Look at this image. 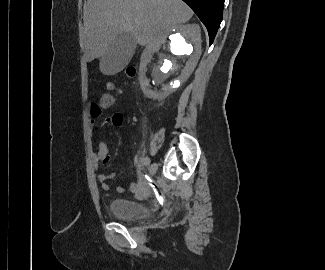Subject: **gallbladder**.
<instances>
[{
  "instance_id": "gallbladder-1",
  "label": "gallbladder",
  "mask_w": 325,
  "mask_h": 270,
  "mask_svg": "<svg viewBox=\"0 0 325 270\" xmlns=\"http://www.w3.org/2000/svg\"><path fill=\"white\" fill-rule=\"evenodd\" d=\"M135 49L136 42L132 34L118 35L101 58L100 69L108 75L120 72L132 58Z\"/></svg>"
}]
</instances>
